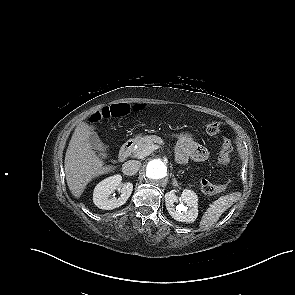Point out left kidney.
Wrapping results in <instances>:
<instances>
[{"instance_id":"left-kidney-1","label":"left kidney","mask_w":295,"mask_h":295,"mask_svg":"<svg viewBox=\"0 0 295 295\" xmlns=\"http://www.w3.org/2000/svg\"><path fill=\"white\" fill-rule=\"evenodd\" d=\"M180 202L179 205L175 203ZM197 194L189 189L183 190L181 197L171 191L165 194L166 208L176 221L192 223L198 216Z\"/></svg>"}]
</instances>
